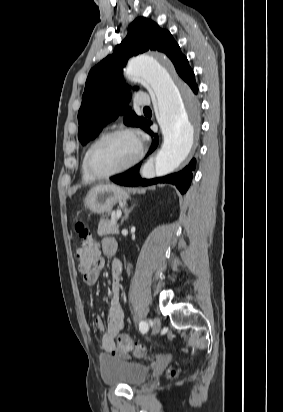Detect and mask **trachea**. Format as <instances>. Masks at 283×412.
<instances>
[{"label":"trachea","instance_id":"1","mask_svg":"<svg viewBox=\"0 0 283 412\" xmlns=\"http://www.w3.org/2000/svg\"><path fill=\"white\" fill-rule=\"evenodd\" d=\"M143 110H144V111H150V108H149V107H145Z\"/></svg>","mask_w":283,"mask_h":412}]
</instances>
